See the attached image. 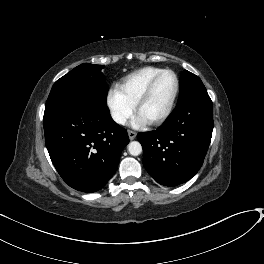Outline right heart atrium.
<instances>
[{"label": "right heart atrium", "mask_w": 264, "mask_h": 264, "mask_svg": "<svg viewBox=\"0 0 264 264\" xmlns=\"http://www.w3.org/2000/svg\"><path fill=\"white\" fill-rule=\"evenodd\" d=\"M107 103L113 120L123 125L135 111V104L130 102L118 88H112L107 97Z\"/></svg>", "instance_id": "right-heart-atrium-1"}]
</instances>
